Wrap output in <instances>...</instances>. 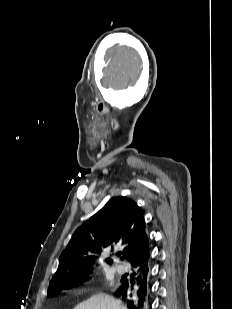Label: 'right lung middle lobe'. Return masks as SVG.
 <instances>
[{
	"label": "right lung middle lobe",
	"instance_id": "obj_1",
	"mask_svg": "<svg viewBox=\"0 0 232 309\" xmlns=\"http://www.w3.org/2000/svg\"><path fill=\"white\" fill-rule=\"evenodd\" d=\"M88 279L89 278H88V275H87V276L82 277L79 280H69V281H62V282L54 283L52 286H50V289L48 290V295L50 297L56 296L63 289H68L70 287V285L81 283V282L87 281Z\"/></svg>",
	"mask_w": 232,
	"mask_h": 309
}]
</instances>
